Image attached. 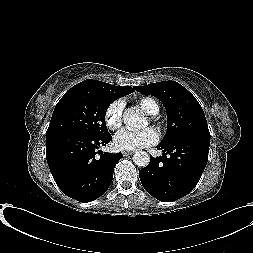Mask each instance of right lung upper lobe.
<instances>
[{
	"label": "right lung upper lobe",
	"mask_w": 253,
	"mask_h": 253,
	"mask_svg": "<svg viewBox=\"0 0 253 253\" xmlns=\"http://www.w3.org/2000/svg\"><path fill=\"white\" fill-rule=\"evenodd\" d=\"M77 85L91 86V87L104 88V89H114V90H119V91L126 92L128 94L135 91L130 86H125V87L113 86L111 84H108V83H105V82H102V81H98V80H92V79L84 80V81L78 83Z\"/></svg>",
	"instance_id": "1"
}]
</instances>
